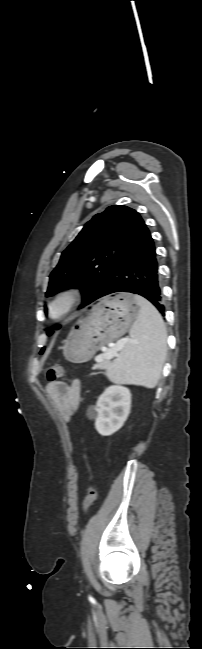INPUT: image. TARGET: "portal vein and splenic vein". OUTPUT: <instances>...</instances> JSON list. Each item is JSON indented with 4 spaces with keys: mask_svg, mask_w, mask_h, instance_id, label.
<instances>
[{
    "mask_svg": "<svg viewBox=\"0 0 202 649\" xmlns=\"http://www.w3.org/2000/svg\"><path fill=\"white\" fill-rule=\"evenodd\" d=\"M129 341H133V340H132V339H129V338L121 339V340L118 342V344H117V346H116V348H115L114 350H109L108 352H106V353H104V354H100V355H98V356L96 357V361H97V362H101V361L104 360V359L111 360V359L116 355V351L120 350V349L124 346V344H125L126 342H129ZM96 368H97V367L95 366L94 369H96Z\"/></svg>",
    "mask_w": 202,
    "mask_h": 649,
    "instance_id": "portal-vein-and-splenic-vein-1",
    "label": "portal vein and splenic vein"
}]
</instances>
